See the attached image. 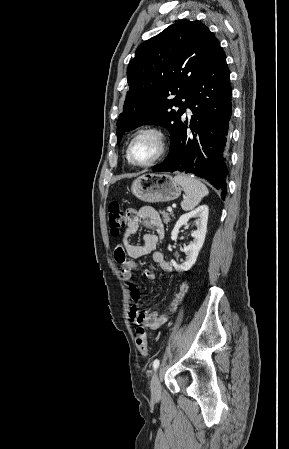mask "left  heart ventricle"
Instances as JSON below:
<instances>
[{
    "instance_id": "b2bd125f",
    "label": "left heart ventricle",
    "mask_w": 289,
    "mask_h": 449,
    "mask_svg": "<svg viewBox=\"0 0 289 449\" xmlns=\"http://www.w3.org/2000/svg\"><path fill=\"white\" fill-rule=\"evenodd\" d=\"M157 149V142L153 137L142 136L134 142L132 156L136 162L145 163L156 155Z\"/></svg>"
}]
</instances>
